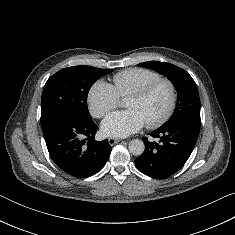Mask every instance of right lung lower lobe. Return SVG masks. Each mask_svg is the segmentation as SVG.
I'll return each instance as SVG.
<instances>
[{"label":"right lung lower lobe","instance_id":"98d812e1","mask_svg":"<svg viewBox=\"0 0 235 235\" xmlns=\"http://www.w3.org/2000/svg\"><path fill=\"white\" fill-rule=\"evenodd\" d=\"M42 130L55 164L74 177L94 175L110 156L112 148L108 141L94 140L98 127L92 119L62 117Z\"/></svg>","mask_w":235,"mask_h":235}]
</instances>
